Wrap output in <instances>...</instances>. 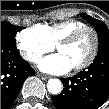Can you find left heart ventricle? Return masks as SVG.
Listing matches in <instances>:
<instances>
[{
  "label": "left heart ventricle",
  "mask_w": 109,
  "mask_h": 109,
  "mask_svg": "<svg viewBox=\"0 0 109 109\" xmlns=\"http://www.w3.org/2000/svg\"><path fill=\"white\" fill-rule=\"evenodd\" d=\"M92 48L93 34L90 31H86L73 44L60 48L59 52L74 67L83 63L89 57Z\"/></svg>",
  "instance_id": "b2bd125f"
}]
</instances>
